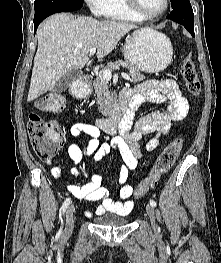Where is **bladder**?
<instances>
[{
	"mask_svg": "<svg viewBox=\"0 0 221 263\" xmlns=\"http://www.w3.org/2000/svg\"><path fill=\"white\" fill-rule=\"evenodd\" d=\"M127 221V219L118 215H103L94 219L95 224L99 226H124Z\"/></svg>",
	"mask_w": 221,
	"mask_h": 263,
	"instance_id": "bladder-1",
	"label": "bladder"
}]
</instances>
